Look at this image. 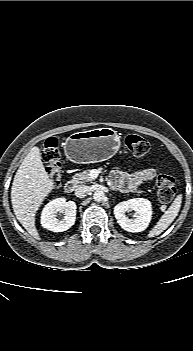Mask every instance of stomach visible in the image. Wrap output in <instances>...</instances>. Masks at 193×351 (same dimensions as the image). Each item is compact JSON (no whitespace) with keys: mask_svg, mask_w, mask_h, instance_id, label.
<instances>
[{"mask_svg":"<svg viewBox=\"0 0 193 351\" xmlns=\"http://www.w3.org/2000/svg\"><path fill=\"white\" fill-rule=\"evenodd\" d=\"M120 137L112 128H98L71 134L65 141L66 157L77 164L107 160L120 148Z\"/></svg>","mask_w":193,"mask_h":351,"instance_id":"0dacf381","label":"stomach"}]
</instances>
